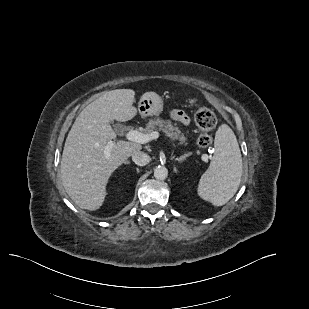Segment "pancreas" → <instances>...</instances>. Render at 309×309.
<instances>
[{
    "instance_id": "pancreas-1",
    "label": "pancreas",
    "mask_w": 309,
    "mask_h": 309,
    "mask_svg": "<svg viewBox=\"0 0 309 309\" xmlns=\"http://www.w3.org/2000/svg\"><path fill=\"white\" fill-rule=\"evenodd\" d=\"M155 130L163 131L168 137L173 140H179V144H186L187 138L184 133L169 120H163L161 118L151 119L144 128L145 133H152Z\"/></svg>"
}]
</instances>
